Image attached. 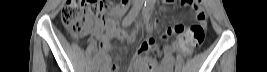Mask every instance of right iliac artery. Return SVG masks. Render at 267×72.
Masks as SVG:
<instances>
[{
    "mask_svg": "<svg viewBox=\"0 0 267 72\" xmlns=\"http://www.w3.org/2000/svg\"><path fill=\"white\" fill-rule=\"evenodd\" d=\"M144 1H138L137 3H135V5L133 6V8L131 9V11L129 12V14L125 17L124 21H123V26L127 27L128 25H130L132 23V21L135 19V17L138 15L142 5H143ZM98 61V55L95 54L94 58H93V63Z\"/></svg>",
    "mask_w": 267,
    "mask_h": 72,
    "instance_id": "right-iliac-artery-1",
    "label": "right iliac artery"
}]
</instances>
